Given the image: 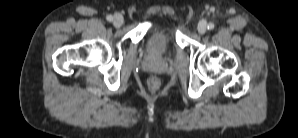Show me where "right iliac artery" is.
I'll list each match as a JSON object with an SVG mask.
<instances>
[{
    "label": "right iliac artery",
    "mask_w": 298,
    "mask_h": 138,
    "mask_svg": "<svg viewBox=\"0 0 298 138\" xmlns=\"http://www.w3.org/2000/svg\"><path fill=\"white\" fill-rule=\"evenodd\" d=\"M106 19H107L108 21H112V20H113V17H112L111 15H108V16L106 17Z\"/></svg>",
    "instance_id": "right-iliac-artery-1"
}]
</instances>
